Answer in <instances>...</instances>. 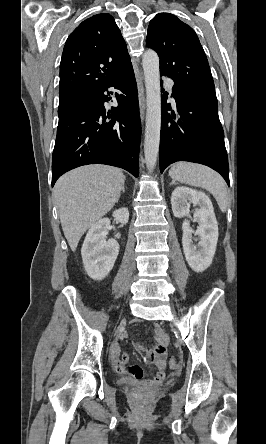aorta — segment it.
Returning a JSON list of instances; mask_svg holds the SVG:
<instances>
[{"label": "aorta", "mask_w": 266, "mask_h": 444, "mask_svg": "<svg viewBox=\"0 0 266 444\" xmlns=\"http://www.w3.org/2000/svg\"><path fill=\"white\" fill-rule=\"evenodd\" d=\"M146 87V128L144 156L147 169L152 171L156 166L161 129V88L158 54L148 49L142 57Z\"/></svg>", "instance_id": "aorta-1"}]
</instances>
